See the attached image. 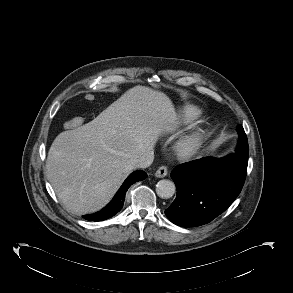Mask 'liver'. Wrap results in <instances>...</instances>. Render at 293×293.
Segmentation results:
<instances>
[{
  "label": "liver",
  "instance_id": "6515ba94",
  "mask_svg": "<svg viewBox=\"0 0 293 293\" xmlns=\"http://www.w3.org/2000/svg\"><path fill=\"white\" fill-rule=\"evenodd\" d=\"M176 120L164 93L135 86L87 124L60 133L46 161V176L66 210L102 209Z\"/></svg>",
  "mask_w": 293,
  "mask_h": 293
}]
</instances>
